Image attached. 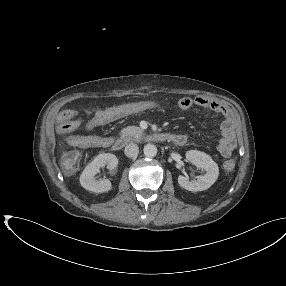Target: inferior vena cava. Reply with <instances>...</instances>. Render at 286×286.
<instances>
[{
	"label": "inferior vena cava",
	"mask_w": 286,
	"mask_h": 286,
	"mask_svg": "<svg viewBox=\"0 0 286 286\" xmlns=\"http://www.w3.org/2000/svg\"><path fill=\"white\" fill-rule=\"evenodd\" d=\"M124 153L127 157H130V158L136 157L139 153V147L135 143H130L126 145Z\"/></svg>",
	"instance_id": "1"
}]
</instances>
